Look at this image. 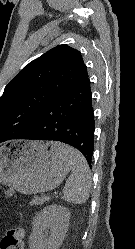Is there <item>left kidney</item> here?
I'll use <instances>...</instances> for the list:
<instances>
[{"mask_svg": "<svg viewBox=\"0 0 135 249\" xmlns=\"http://www.w3.org/2000/svg\"><path fill=\"white\" fill-rule=\"evenodd\" d=\"M70 216V211L63 206L52 204L45 207L33 221L29 248L59 249L68 230Z\"/></svg>", "mask_w": 135, "mask_h": 249, "instance_id": "1", "label": "left kidney"}]
</instances>
